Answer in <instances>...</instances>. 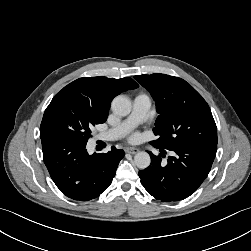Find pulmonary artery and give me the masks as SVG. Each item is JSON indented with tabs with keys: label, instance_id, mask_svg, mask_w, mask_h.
I'll use <instances>...</instances> for the list:
<instances>
[{
	"label": "pulmonary artery",
	"instance_id": "e3ab8cb5",
	"mask_svg": "<svg viewBox=\"0 0 251 251\" xmlns=\"http://www.w3.org/2000/svg\"><path fill=\"white\" fill-rule=\"evenodd\" d=\"M151 108V99L146 94H138L133 100V108L130 116L100 136L104 140H114L127 134L136 125L145 121Z\"/></svg>",
	"mask_w": 251,
	"mask_h": 251
}]
</instances>
